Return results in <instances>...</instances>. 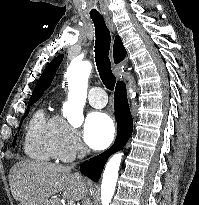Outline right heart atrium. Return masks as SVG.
<instances>
[{
	"label": "right heart atrium",
	"mask_w": 199,
	"mask_h": 205,
	"mask_svg": "<svg viewBox=\"0 0 199 205\" xmlns=\"http://www.w3.org/2000/svg\"><path fill=\"white\" fill-rule=\"evenodd\" d=\"M53 119L55 123V158L64 162L71 161L85 151L80 136L77 130L64 119L60 117H55Z\"/></svg>",
	"instance_id": "right-heart-atrium-1"
}]
</instances>
